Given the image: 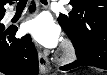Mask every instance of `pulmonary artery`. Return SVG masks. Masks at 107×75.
<instances>
[{
	"label": "pulmonary artery",
	"instance_id": "1",
	"mask_svg": "<svg viewBox=\"0 0 107 75\" xmlns=\"http://www.w3.org/2000/svg\"><path fill=\"white\" fill-rule=\"evenodd\" d=\"M15 13H16V12H15L14 10L9 11V12H8V15H7L8 18H12V17L15 15Z\"/></svg>",
	"mask_w": 107,
	"mask_h": 75
}]
</instances>
